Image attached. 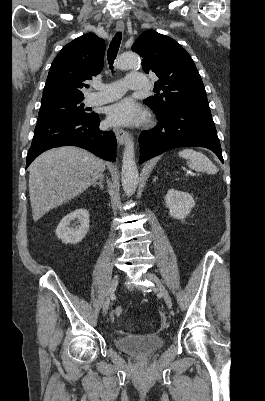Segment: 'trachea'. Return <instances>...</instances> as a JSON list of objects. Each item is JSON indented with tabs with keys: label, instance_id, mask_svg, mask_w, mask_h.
Wrapping results in <instances>:
<instances>
[{
	"label": "trachea",
	"instance_id": "3493384b",
	"mask_svg": "<svg viewBox=\"0 0 265 401\" xmlns=\"http://www.w3.org/2000/svg\"><path fill=\"white\" fill-rule=\"evenodd\" d=\"M121 40H122V34L120 32H117L109 45L107 52V59L111 70L113 69V63L119 51Z\"/></svg>",
	"mask_w": 265,
	"mask_h": 401
}]
</instances>
